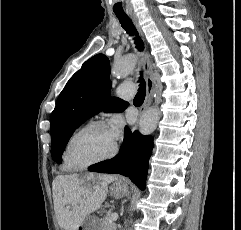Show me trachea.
I'll return each instance as SVG.
<instances>
[{"mask_svg": "<svg viewBox=\"0 0 241 230\" xmlns=\"http://www.w3.org/2000/svg\"><path fill=\"white\" fill-rule=\"evenodd\" d=\"M117 18L120 21L121 26L126 30V32L128 34H130L131 36H135L136 39V48L139 49L140 51L143 50L144 48V44L142 42V40L140 39V37L138 36V32L136 30V28L134 27L131 19L124 13H115ZM140 87L138 89V93L136 94L133 102L134 103H143L144 99H145V94H146V83L143 79V75L142 73H140Z\"/></svg>", "mask_w": 241, "mask_h": 230, "instance_id": "trachea-1", "label": "trachea"}]
</instances>
